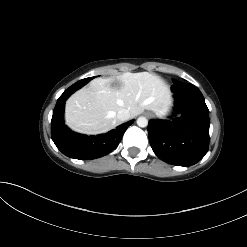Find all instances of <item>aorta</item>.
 Segmentation results:
<instances>
[{
    "label": "aorta",
    "instance_id": "aorta-1",
    "mask_svg": "<svg viewBox=\"0 0 247 247\" xmlns=\"http://www.w3.org/2000/svg\"><path fill=\"white\" fill-rule=\"evenodd\" d=\"M137 125H138L139 127H142V128L146 127V126L148 125V120H147V118H146V117H143V116L139 117V118L137 119Z\"/></svg>",
    "mask_w": 247,
    "mask_h": 247
}]
</instances>
